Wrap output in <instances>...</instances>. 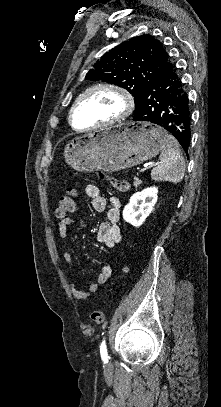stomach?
<instances>
[{
    "label": "stomach",
    "mask_w": 221,
    "mask_h": 407,
    "mask_svg": "<svg viewBox=\"0 0 221 407\" xmlns=\"http://www.w3.org/2000/svg\"><path fill=\"white\" fill-rule=\"evenodd\" d=\"M167 133L148 122H127L77 136L64 147L76 171L116 172L137 166L163 151Z\"/></svg>",
    "instance_id": "stomach-1"
}]
</instances>
